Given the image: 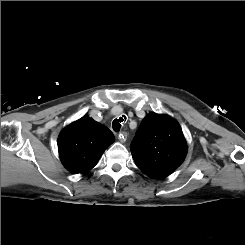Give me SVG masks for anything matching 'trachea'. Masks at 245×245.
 I'll return each mask as SVG.
<instances>
[{"instance_id":"3493384b","label":"trachea","mask_w":245,"mask_h":245,"mask_svg":"<svg viewBox=\"0 0 245 245\" xmlns=\"http://www.w3.org/2000/svg\"><path fill=\"white\" fill-rule=\"evenodd\" d=\"M127 120V117L125 115H122L121 117H119L118 119L116 118L113 122H112V127L113 130L118 132L122 126V124L125 123V121Z\"/></svg>"}]
</instances>
